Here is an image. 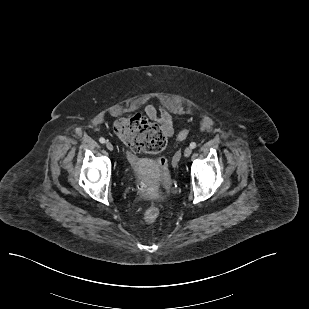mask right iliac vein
<instances>
[{"label": "right iliac vein", "instance_id": "63e3f726", "mask_svg": "<svg viewBox=\"0 0 309 309\" xmlns=\"http://www.w3.org/2000/svg\"><path fill=\"white\" fill-rule=\"evenodd\" d=\"M106 147L108 150L112 151L113 150V145L110 142H106Z\"/></svg>", "mask_w": 309, "mask_h": 309}]
</instances>
